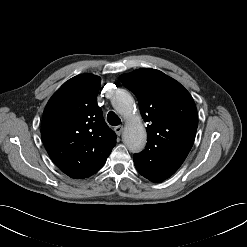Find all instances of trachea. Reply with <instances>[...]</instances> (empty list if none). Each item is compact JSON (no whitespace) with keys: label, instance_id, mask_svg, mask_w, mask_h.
<instances>
[{"label":"trachea","instance_id":"3493384b","mask_svg":"<svg viewBox=\"0 0 247 247\" xmlns=\"http://www.w3.org/2000/svg\"><path fill=\"white\" fill-rule=\"evenodd\" d=\"M107 120H108L109 124L112 126H117V125L121 124L120 118L113 111H110L108 113Z\"/></svg>","mask_w":247,"mask_h":247}]
</instances>
